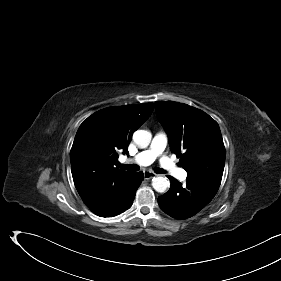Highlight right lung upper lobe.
Listing matches in <instances>:
<instances>
[{
  "label": "right lung upper lobe",
  "instance_id": "1",
  "mask_svg": "<svg viewBox=\"0 0 281 281\" xmlns=\"http://www.w3.org/2000/svg\"><path fill=\"white\" fill-rule=\"evenodd\" d=\"M152 111L153 103L109 107L80 125L70 152L71 171L76 189L90 209L111 203L132 174L116 166L117 152L128 155L132 134Z\"/></svg>",
  "mask_w": 281,
  "mask_h": 281
}]
</instances>
